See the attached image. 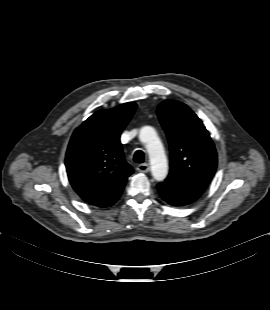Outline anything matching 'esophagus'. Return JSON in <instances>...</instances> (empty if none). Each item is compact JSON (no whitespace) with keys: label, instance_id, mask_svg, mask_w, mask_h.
<instances>
[{"label":"esophagus","instance_id":"obj_1","mask_svg":"<svg viewBox=\"0 0 270 310\" xmlns=\"http://www.w3.org/2000/svg\"><path fill=\"white\" fill-rule=\"evenodd\" d=\"M150 170V167L147 163H143L137 166V171L141 173H147Z\"/></svg>","mask_w":270,"mask_h":310}]
</instances>
